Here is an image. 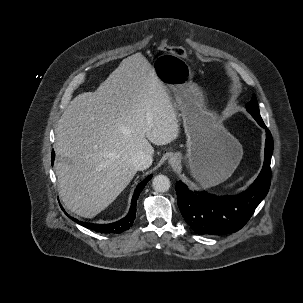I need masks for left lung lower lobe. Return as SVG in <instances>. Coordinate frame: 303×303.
<instances>
[{
  "instance_id": "0a47b994",
  "label": "left lung lower lobe",
  "mask_w": 303,
  "mask_h": 303,
  "mask_svg": "<svg viewBox=\"0 0 303 303\" xmlns=\"http://www.w3.org/2000/svg\"><path fill=\"white\" fill-rule=\"evenodd\" d=\"M254 119L266 129L265 158L259 176L246 191L235 196H215L205 191L193 193L184 183H176L181 214L199 235H221L238 231L268 193L273 139L263 120Z\"/></svg>"
}]
</instances>
